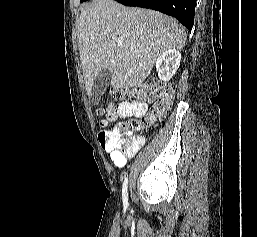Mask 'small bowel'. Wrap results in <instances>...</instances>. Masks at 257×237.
<instances>
[{
  "instance_id": "small-bowel-1",
  "label": "small bowel",
  "mask_w": 257,
  "mask_h": 237,
  "mask_svg": "<svg viewBox=\"0 0 257 237\" xmlns=\"http://www.w3.org/2000/svg\"><path fill=\"white\" fill-rule=\"evenodd\" d=\"M147 110V105L140 101H124L120 102L115 106H111L108 110V117L111 121L116 122L119 119H125L128 117H142ZM115 128L113 131H116ZM145 143V138L143 136H133L129 143H124L123 145H117L111 148L107 145L104 149L110 155L114 165L117 168H122L127 160L133 157L136 152Z\"/></svg>"
}]
</instances>
